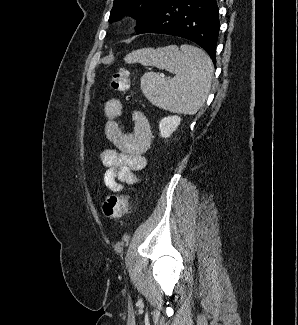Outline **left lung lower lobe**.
<instances>
[{
	"label": "left lung lower lobe",
	"mask_w": 298,
	"mask_h": 325,
	"mask_svg": "<svg viewBox=\"0 0 298 325\" xmlns=\"http://www.w3.org/2000/svg\"><path fill=\"white\" fill-rule=\"evenodd\" d=\"M219 27L216 0H166L136 31L189 39L201 46L215 64Z\"/></svg>",
	"instance_id": "1"
}]
</instances>
